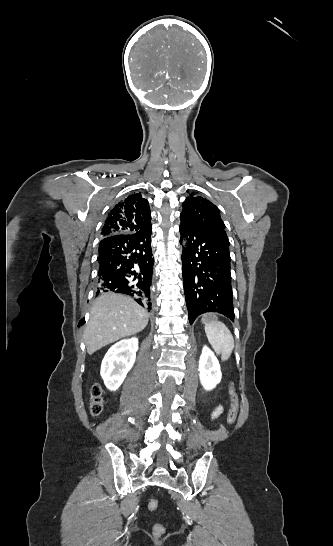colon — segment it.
Wrapping results in <instances>:
<instances>
[{
	"mask_svg": "<svg viewBox=\"0 0 333 546\" xmlns=\"http://www.w3.org/2000/svg\"><path fill=\"white\" fill-rule=\"evenodd\" d=\"M231 406L227 414V422L229 424H233L236 419L239 412V406H238V399L237 395L232 391V397H231ZM103 409V401H102V391L98 385H94L91 390V405H90V411L92 415L97 416L102 412ZM160 504L158 500L152 499L148 503V508L151 511L158 510ZM165 532V528L161 524H155L153 527V533L157 536L163 535Z\"/></svg>",
	"mask_w": 333,
	"mask_h": 546,
	"instance_id": "5ec220e1",
	"label": "colon"
}]
</instances>
